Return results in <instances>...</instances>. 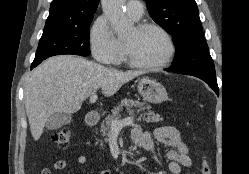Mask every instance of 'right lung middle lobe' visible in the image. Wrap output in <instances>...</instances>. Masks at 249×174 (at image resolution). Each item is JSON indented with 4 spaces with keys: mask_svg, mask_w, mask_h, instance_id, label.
Instances as JSON below:
<instances>
[{
    "mask_svg": "<svg viewBox=\"0 0 249 174\" xmlns=\"http://www.w3.org/2000/svg\"><path fill=\"white\" fill-rule=\"evenodd\" d=\"M91 21L43 31L33 62H42L48 57L61 54L90 55Z\"/></svg>",
    "mask_w": 249,
    "mask_h": 174,
    "instance_id": "1",
    "label": "right lung middle lobe"
}]
</instances>
